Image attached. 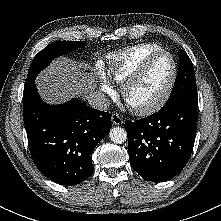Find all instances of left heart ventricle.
Returning <instances> with one entry per match:
<instances>
[{"instance_id": "b2bd125f", "label": "left heart ventricle", "mask_w": 221, "mask_h": 221, "mask_svg": "<svg viewBox=\"0 0 221 221\" xmlns=\"http://www.w3.org/2000/svg\"><path fill=\"white\" fill-rule=\"evenodd\" d=\"M173 70V63L168 56L156 59L128 92L131 106H143L159 97L168 84Z\"/></svg>"}]
</instances>
